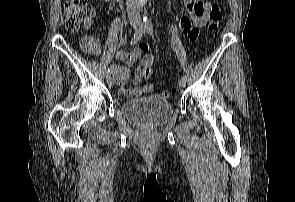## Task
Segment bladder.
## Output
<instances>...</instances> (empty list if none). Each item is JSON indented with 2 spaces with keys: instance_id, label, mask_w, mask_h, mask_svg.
I'll use <instances>...</instances> for the list:
<instances>
[{
  "instance_id": "1",
  "label": "bladder",
  "mask_w": 295,
  "mask_h": 202,
  "mask_svg": "<svg viewBox=\"0 0 295 202\" xmlns=\"http://www.w3.org/2000/svg\"><path fill=\"white\" fill-rule=\"evenodd\" d=\"M122 116L134 123L159 126L173 115L172 104L159 95H149L127 100L120 107Z\"/></svg>"
}]
</instances>
